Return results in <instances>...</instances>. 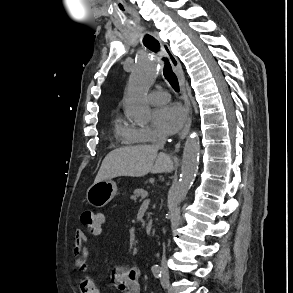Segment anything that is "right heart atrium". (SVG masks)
I'll list each match as a JSON object with an SVG mask.
<instances>
[{"label": "right heart atrium", "mask_w": 293, "mask_h": 293, "mask_svg": "<svg viewBox=\"0 0 293 293\" xmlns=\"http://www.w3.org/2000/svg\"><path fill=\"white\" fill-rule=\"evenodd\" d=\"M129 138L137 141L153 142L162 137L160 133L150 127H129Z\"/></svg>", "instance_id": "d8ad5b80"}]
</instances>
